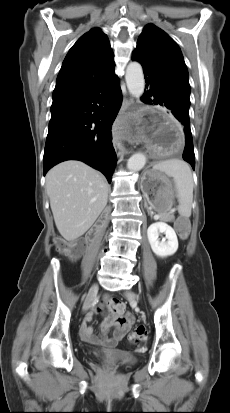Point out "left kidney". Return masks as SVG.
<instances>
[{
	"mask_svg": "<svg viewBox=\"0 0 230 413\" xmlns=\"http://www.w3.org/2000/svg\"><path fill=\"white\" fill-rule=\"evenodd\" d=\"M160 233H164L167 241H159ZM148 241L152 251L158 257L173 255L178 249V239L174 229L164 222H155L147 230Z\"/></svg>",
	"mask_w": 230,
	"mask_h": 413,
	"instance_id": "obj_1",
	"label": "left kidney"
}]
</instances>
